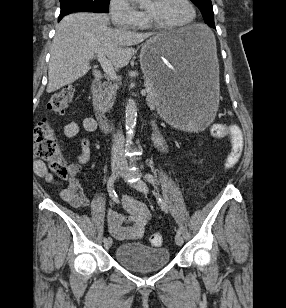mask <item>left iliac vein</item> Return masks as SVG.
Instances as JSON below:
<instances>
[{
  "label": "left iliac vein",
  "instance_id": "left-iliac-vein-1",
  "mask_svg": "<svg viewBox=\"0 0 286 308\" xmlns=\"http://www.w3.org/2000/svg\"><path fill=\"white\" fill-rule=\"evenodd\" d=\"M120 154L121 156L119 159V173L121 174L123 178L127 179L129 177V173H128V166H127L126 158L123 156V150L120 152ZM130 185L144 194H148L149 192L147 184L141 179L136 180ZM175 242L178 246L183 245V238L180 234L175 235Z\"/></svg>",
  "mask_w": 286,
  "mask_h": 308
}]
</instances>
